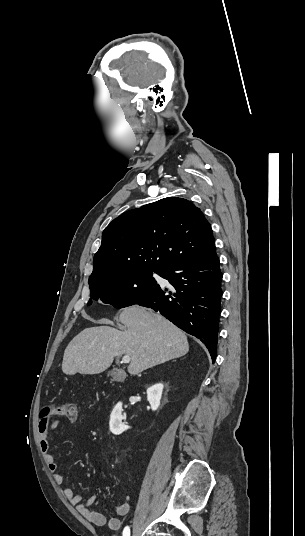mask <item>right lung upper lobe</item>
<instances>
[{
  "instance_id": "cb5924a9",
  "label": "right lung upper lobe",
  "mask_w": 305,
  "mask_h": 536,
  "mask_svg": "<svg viewBox=\"0 0 305 536\" xmlns=\"http://www.w3.org/2000/svg\"><path fill=\"white\" fill-rule=\"evenodd\" d=\"M209 222L190 201L168 197L129 210L103 231L89 282L160 270L213 247Z\"/></svg>"
}]
</instances>
